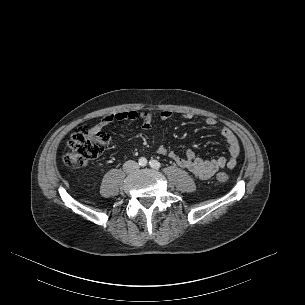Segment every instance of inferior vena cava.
Here are the masks:
<instances>
[{
  "label": "inferior vena cava",
  "mask_w": 305,
  "mask_h": 305,
  "mask_svg": "<svg viewBox=\"0 0 305 305\" xmlns=\"http://www.w3.org/2000/svg\"><path fill=\"white\" fill-rule=\"evenodd\" d=\"M138 168H139L138 163L133 160L126 161L123 165V169L127 173H133L137 171Z\"/></svg>",
  "instance_id": "602c4592"
}]
</instances>
